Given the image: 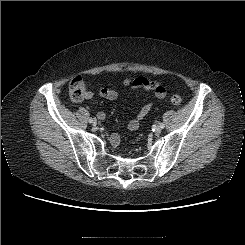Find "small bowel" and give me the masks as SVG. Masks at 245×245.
Here are the masks:
<instances>
[{"label":"small bowel","mask_w":245,"mask_h":245,"mask_svg":"<svg viewBox=\"0 0 245 245\" xmlns=\"http://www.w3.org/2000/svg\"><path fill=\"white\" fill-rule=\"evenodd\" d=\"M132 88L133 89H137V88H141V87H139L138 85L133 83ZM145 90L150 91V89H145ZM99 94H100V96L102 98L107 99V100L115 101V100L119 99V94L116 91H113V90H111L109 88H102L100 90ZM155 94H156V96L158 98L161 99V98L165 97L166 92L165 93H157V92H155ZM91 96H92L91 93H87L86 94L87 98H91ZM151 108H152V103H148V104L144 105L141 108V110L136 114V116L129 122V124H128L129 129L130 130L138 129L140 122L149 113ZM98 118L99 119H104L105 118V114L103 112L99 113L98 114ZM109 140H110V143L113 146H117L118 143H119V137H118V135H115V134L112 135Z\"/></svg>","instance_id":"1"}]
</instances>
